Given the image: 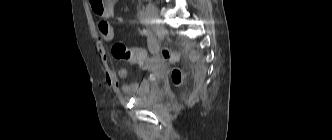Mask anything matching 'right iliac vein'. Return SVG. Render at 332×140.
Segmentation results:
<instances>
[{"label":"right iliac vein","instance_id":"1","mask_svg":"<svg viewBox=\"0 0 332 140\" xmlns=\"http://www.w3.org/2000/svg\"><path fill=\"white\" fill-rule=\"evenodd\" d=\"M147 16L151 22V24H156L158 22V13L155 5L153 3H148L146 7Z\"/></svg>","mask_w":332,"mask_h":140}]
</instances>
